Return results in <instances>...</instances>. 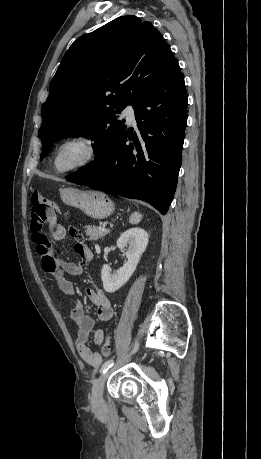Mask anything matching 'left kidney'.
<instances>
[{
  "instance_id": "obj_1",
  "label": "left kidney",
  "mask_w": 261,
  "mask_h": 459,
  "mask_svg": "<svg viewBox=\"0 0 261 459\" xmlns=\"http://www.w3.org/2000/svg\"><path fill=\"white\" fill-rule=\"evenodd\" d=\"M148 241V233L142 228H131L121 234L117 240V246L126 250L127 262L113 273L109 265H103L101 279L106 292L117 291L130 279L136 270L141 255L146 250Z\"/></svg>"
}]
</instances>
